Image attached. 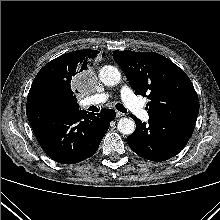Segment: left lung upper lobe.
<instances>
[{"label":"left lung upper lobe","instance_id":"left-lung-upper-lobe-1","mask_svg":"<svg viewBox=\"0 0 220 220\" xmlns=\"http://www.w3.org/2000/svg\"><path fill=\"white\" fill-rule=\"evenodd\" d=\"M135 93L147 96L149 118L188 114L197 116L199 100L189 77L171 60L155 52L114 51Z\"/></svg>","mask_w":220,"mask_h":220}]
</instances>
